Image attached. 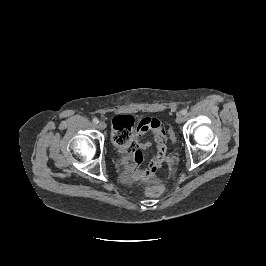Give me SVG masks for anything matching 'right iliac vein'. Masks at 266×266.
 <instances>
[{
    "label": "right iliac vein",
    "instance_id": "63e3f726",
    "mask_svg": "<svg viewBox=\"0 0 266 266\" xmlns=\"http://www.w3.org/2000/svg\"><path fill=\"white\" fill-rule=\"evenodd\" d=\"M98 127L100 128V129H105L106 128V124L104 123V122H102V121H100L99 123H98Z\"/></svg>",
    "mask_w": 266,
    "mask_h": 266
}]
</instances>
